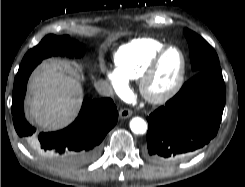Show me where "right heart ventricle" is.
<instances>
[{
    "instance_id": "e07e8e85",
    "label": "right heart ventricle",
    "mask_w": 245,
    "mask_h": 187,
    "mask_svg": "<svg viewBox=\"0 0 245 187\" xmlns=\"http://www.w3.org/2000/svg\"><path fill=\"white\" fill-rule=\"evenodd\" d=\"M165 46L162 41L154 38H139L121 46L114 56L118 75L125 83L139 80Z\"/></svg>"
}]
</instances>
